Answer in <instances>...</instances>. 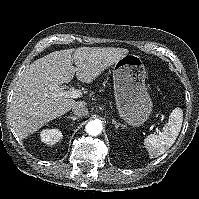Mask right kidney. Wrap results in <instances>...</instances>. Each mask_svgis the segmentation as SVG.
Listing matches in <instances>:
<instances>
[{"label": "right kidney", "instance_id": "1", "mask_svg": "<svg viewBox=\"0 0 199 199\" xmlns=\"http://www.w3.org/2000/svg\"><path fill=\"white\" fill-rule=\"evenodd\" d=\"M41 141L53 145L60 141L63 137L60 130L54 128V129H44L40 132Z\"/></svg>", "mask_w": 199, "mask_h": 199}]
</instances>
